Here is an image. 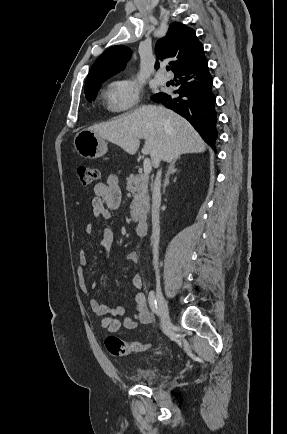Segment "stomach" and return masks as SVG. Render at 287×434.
<instances>
[{
  "mask_svg": "<svg viewBox=\"0 0 287 434\" xmlns=\"http://www.w3.org/2000/svg\"><path fill=\"white\" fill-rule=\"evenodd\" d=\"M77 153L86 159H97L107 152L105 139L89 129L80 130L74 137Z\"/></svg>",
  "mask_w": 287,
  "mask_h": 434,
  "instance_id": "obj_1",
  "label": "stomach"
}]
</instances>
